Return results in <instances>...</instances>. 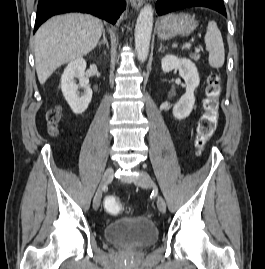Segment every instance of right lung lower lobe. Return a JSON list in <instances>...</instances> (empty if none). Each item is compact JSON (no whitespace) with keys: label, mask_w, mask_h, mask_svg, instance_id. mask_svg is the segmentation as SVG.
Segmentation results:
<instances>
[{"label":"right lung lower lobe","mask_w":265,"mask_h":269,"mask_svg":"<svg viewBox=\"0 0 265 269\" xmlns=\"http://www.w3.org/2000/svg\"><path fill=\"white\" fill-rule=\"evenodd\" d=\"M125 0H39L34 32L53 15L89 13L114 24L125 9Z\"/></svg>","instance_id":"obj_1"}]
</instances>
